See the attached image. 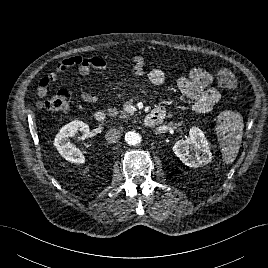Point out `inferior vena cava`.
I'll use <instances>...</instances> for the list:
<instances>
[{
    "instance_id": "1",
    "label": "inferior vena cava",
    "mask_w": 268,
    "mask_h": 268,
    "mask_svg": "<svg viewBox=\"0 0 268 268\" xmlns=\"http://www.w3.org/2000/svg\"><path fill=\"white\" fill-rule=\"evenodd\" d=\"M120 137L121 132L116 128H110L105 134V138L108 143H116L120 139Z\"/></svg>"
}]
</instances>
